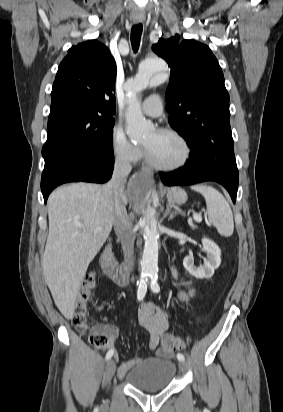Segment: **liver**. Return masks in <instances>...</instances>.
<instances>
[{
    "label": "liver",
    "instance_id": "obj_1",
    "mask_svg": "<svg viewBox=\"0 0 283 412\" xmlns=\"http://www.w3.org/2000/svg\"><path fill=\"white\" fill-rule=\"evenodd\" d=\"M112 202L113 190L108 184L65 185L49 196L43 275L57 308L67 319L73 318L88 265L112 230Z\"/></svg>",
    "mask_w": 283,
    "mask_h": 412
}]
</instances>
